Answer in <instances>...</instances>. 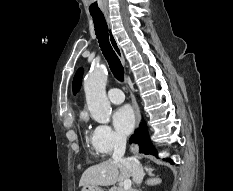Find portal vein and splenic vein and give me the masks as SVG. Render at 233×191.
I'll list each match as a JSON object with an SVG mask.
<instances>
[{"instance_id":"18ae733b","label":"portal vein and splenic vein","mask_w":233,"mask_h":191,"mask_svg":"<svg viewBox=\"0 0 233 191\" xmlns=\"http://www.w3.org/2000/svg\"><path fill=\"white\" fill-rule=\"evenodd\" d=\"M131 184L132 182L130 179L124 180V186H123L124 191H128L131 188Z\"/></svg>"}]
</instances>
